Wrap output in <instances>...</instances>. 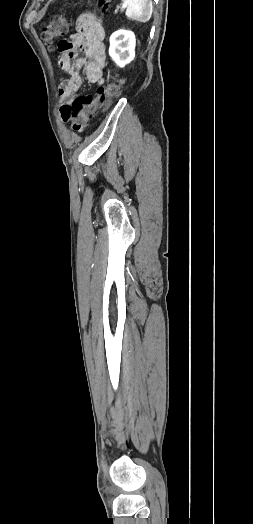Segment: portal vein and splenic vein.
I'll return each instance as SVG.
<instances>
[{"label": "portal vein and splenic vein", "mask_w": 253, "mask_h": 524, "mask_svg": "<svg viewBox=\"0 0 253 524\" xmlns=\"http://www.w3.org/2000/svg\"><path fill=\"white\" fill-rule=\"evenodd\" d=\"M125 8H126V6H125V5H123V6L121 7V10H124Z\"/></svg>", "instance_id": "1"}]
</instances>
